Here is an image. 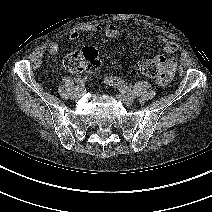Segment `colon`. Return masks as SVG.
I'll list each match as a JSON object with an SVG mask.
<instances>
[{
  "mask_svg": "<svg viewBox=\"0 0 212 212\" xmlns=\"http://www.w3.org/2000/svg\"><path fill=\"white\" fill-rule=\"evenodd\" d=\"M99 64L98 52L90 46L85 47L82 51L70 53L61 60L62 68L72 74L95 71ZM165 64V59L162 57L143 59L138 64V70L141 74L160 81L164 76ZM167 73H169V67H167Z\"/></svg>",
  "mask_w": 212,
  "mask_h": 212,
  "instance_id": "colon-1",
  "label": "colon"
}]
</instances>
